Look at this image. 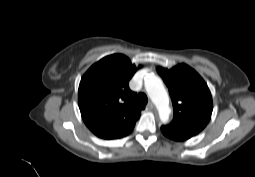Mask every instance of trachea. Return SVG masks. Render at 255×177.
<instances>
[{"mask_svg": "<svg viewBox=\"0 0 255 177\" xmlns=\"http://www.w3.org/2000/svg\"><path fill=\"white\" fill-rule=\"evenodd\" d=\"M137 102H138L140 105H146L147 102H148V98H147V96H146L144 93H140V94L137 96Z\"/></svg>", "mask_w": 255, "mask_h": 177, "instance_id": "1", "label": "trachea"}]
</instances>
